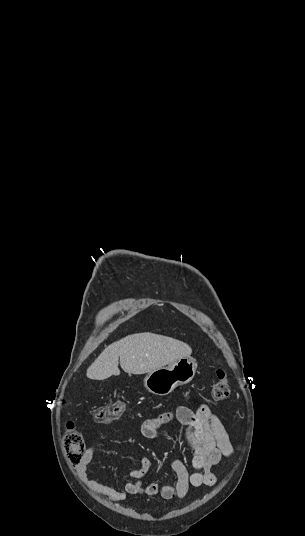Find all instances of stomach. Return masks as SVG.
I'll use <instances>...</instances> for the list:
<instances>
[{
	"mask_svg": "<svg viewBox=\"0 0 305 536\" xmlns=\"http://www.w3.org/2000/svg\"><path fill=\"white\" fill-rule=\"evenodd\" d=\"M196 370L197 364L194 358L191 356L180 358L177 362L170 364L168 368H158V370L149 372L144 378V386L151 394L167 396L177 386L189 384L193 380Z\"/></svg>",
	"mask_w": 305,
	"mask_h": 536,
	"instance_id": "stomach-1",
	"label": "stomach"
}]
</instances>
